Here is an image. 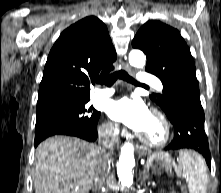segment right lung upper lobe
<instances>
[{"label":"right lung upper lobe","mask_w":221,"mask_h":193,"mask_svg":"<svg viewBox=\"0 0 221 193\" xmlns=\"http://www.w3.org/2000/svg\"><path fill=\"white\" fill-rule=\"evenodd\" d=\"M116 52L105 24L88 16L64 30L53 45L37 104L90 99V84L107 75Z\"/></svg>","instance_id":"1"}]
</instances>
